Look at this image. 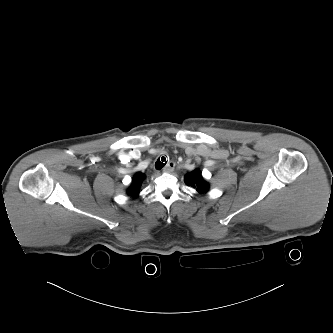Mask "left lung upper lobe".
<instances>
[{
	"instance_id": "left-lung-upper-lobe-1",
	"label": "left lung upper lobe",
	"mask_w": 333,
	"mask_h": 333,
	"mask_svg": "<svg viewBox=\"0 0 333 333\" xmlns=\"http://www.w3.org/2000/svg\"><path fill=\"white\" fill-rule=\"evenodd\" d=\"M184 181L186 185L192 186L199 193H206L209 189V184L202 177V174L198 169L187 173L185 175Z\"/></svg>"
}]
</instances>
